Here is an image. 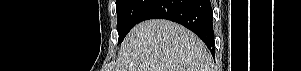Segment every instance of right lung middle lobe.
<instances>
[{"label": "right lung middle lobe", "mask_w": 301, "mask_h": 71, "mask_svg": "<svg viewBox=\"0 0 301 71\" xmlns=\"http://www.w3.org/2000/svg\"><path fill=\"white\" fill-rule=\"evenodd\" d=\"M155 0H117V25L119 43L123 41L127 33L140 22L143 13Z\"/></svg>", "instance_id": "1"}]
</instances>
